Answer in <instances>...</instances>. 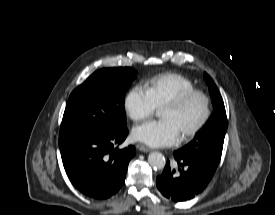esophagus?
<instances>
[{"instance_id": "34e87169", "label": "esophagus", "mask_w": 275, "mask_h": 215, "mask_svg": "<svg viewBox=\"0 0 275 215\" xmlns=\"http://www.w3.org/2000/svg\"><path fill=\"white\" fill-rule=\"evenodd\" d=\"M137 148L141 151V152H150V148H148L147 146L143 145V144H137Z\"/></svg>"}]
</instances>
